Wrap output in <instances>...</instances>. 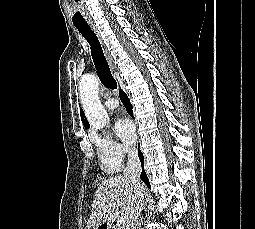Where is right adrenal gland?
Masks as SVG:
<instances>
[{
  "label": "right adrenal gland",
  "instance_id": "2a0ac1e0",
  "mask_svg": "<svg viewBox=\"0 0 255 229\" xmlns=\"http://www.w3.org/2000/svg\"><path fill=\"white\" fill-rule=\"evenodd\" d=\"M145 206H146V202H145L144 207H143V209H142V210H144V209H145Z\"/></svg>",
  "mask_w": 255,
  "mask_h": 229
}]
</instances>
